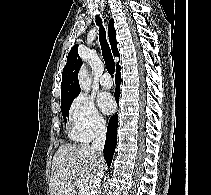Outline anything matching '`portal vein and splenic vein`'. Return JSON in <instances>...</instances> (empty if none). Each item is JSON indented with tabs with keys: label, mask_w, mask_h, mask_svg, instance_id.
<instances>
[{
	"label": "portal vein and splenic vein",
	"mask_w": 211,
	"mask_h": 195,
	"mask_svg": "<svg viewBox=\"0 0 211 195\" xmlns=\"http://www.w3.org/2000/svg\"><path fill=\"white\" fill-rule=\"evenodd\" d=\"M79 183V195H85V189L84 187L82 186V184H80L81 182L78 181Z\"/></svg>",
	"instance_id": "portal-vein-and-splenic-vein-1"
}]
</instances>
